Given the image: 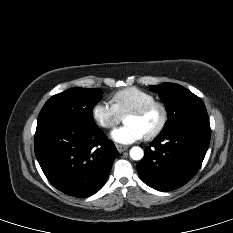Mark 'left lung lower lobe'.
<instances>
[{
  "label": "left lung lower lobe",
  "mask_w": 233,
  "mask_h": 233,
  "mask_svg": "<svg viewBox=\"0 0 233 233\" xmlns=\"http://www.w3.org/2000/svg\"><path fill=\"white\" fill-rule=\"evenodd\" d=\"M211 137L209 121H193L162 132L137 166L142 181L158 191L186 184L199 170Z\"/></svg>",
  "instance_id": "0a47b994"
}]
</instances>
